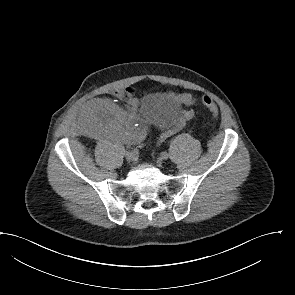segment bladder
I'll use <instances>...</instances> for the list:
<instances>
[{
    "mask_svg": "<svg viewBox=\"0 0 295 295\" xmlns=\"http://www.w3.org/2000/svg\"><path fill=\"white\" fill-rule=\"evenodd\" d=\"M180 109L177 101L162 93L148 94L140 104L141 113L161 129H167L176 122Z\"/></svg>",
    "mask_w": 295,
    "mask_h": 295,
    "instance_id": "bladder-1",
    "label": "bladder"
}]
</instances>
